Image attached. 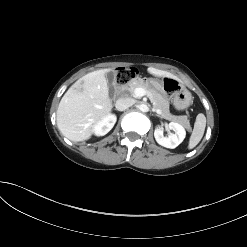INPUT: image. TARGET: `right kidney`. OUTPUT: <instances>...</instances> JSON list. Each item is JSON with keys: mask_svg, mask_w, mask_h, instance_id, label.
Instances as JSON below:
<instances>
[{"mask_svg": "<svg viewBox=\"0 0 247 247\" xmlns=\"http://www.w3.org/2000/svg\"><path fill=\"white\" fill-rule=\"evenodd\" d=\"M116 121L117 117L115 114H108L94 125V134L96 136L106 135L113 128Z\"/></svg>", "mask_w": 247, "mask_h": 247, "instance_id": "1", "label": "right kidney"}]
</instances>
